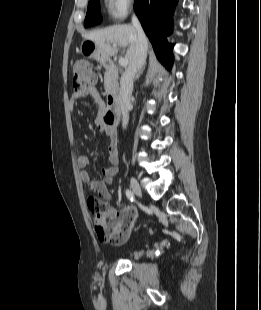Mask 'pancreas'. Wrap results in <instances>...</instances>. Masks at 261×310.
<instances>
[{"label": "pancreas", "mask_w": 261, "mask_h": 310, "mask_svg": "<svg viewBox=\"0 0 261 310\" xmlns=\"http://www.w3.org/2000/svg\"><path fill=\"white\" fill-rule=\"evenodd\" d=\"M115 83H116V77L112 76L109 72H106L104 77V87L106 93H110L112 91V88L115 86Z\"/></svg>", "instance_id": "1"}]
</instances>
